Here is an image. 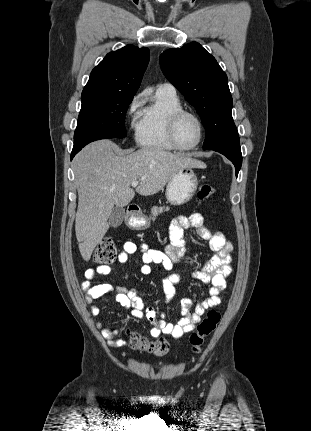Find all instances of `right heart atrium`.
<instances>
[{"label":"right heart atrium","mask_w":311,"mask_h":431,"mask_svg":"<svg viewBox=\"0 0 311 431\" xmlns=\"http://www.w3.org/2000/svg\"><path fill=\"white\" fill-rule=\"evenodd\" d=\"M145 94L138 93L134 95L127 105V116L131 125L136 123V120L140 116V107L144 104Z\"/></svg>","instance_id":"obj_1"}]
</instances>
